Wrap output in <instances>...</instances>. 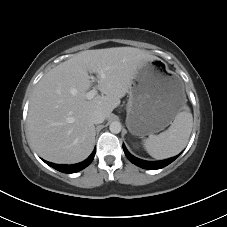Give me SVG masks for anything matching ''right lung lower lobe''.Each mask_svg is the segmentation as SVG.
<instances>
[{
	"label": "right lung lower lobe",
	"instance_id": "1",
	"mask_svg": "<svg viewBox=\"0 0 227 227\" xmlns=\"http://www.w3.org/2000/svg\"><path fill=\"white\" fill-rule=\"evenodd\" d=\"M96 150L94 149V151L92 152V154L83 162H80L78 164H73V165H58V164H53L50 162H47L45 160H43L46 164H48L49 166L53 167L54 169L63 172V173H75L78 172L84 168H86L94 159V155H95Z\"/></svg>",
	"mask_w": 227,
	"mask_h": 227
}]
</instances>
